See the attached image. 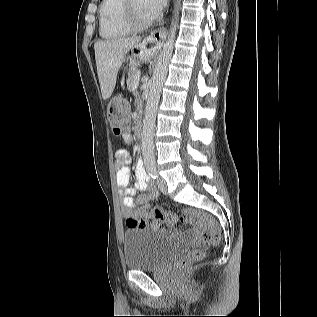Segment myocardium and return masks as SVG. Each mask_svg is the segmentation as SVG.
<instances>
[{
    "label": "myocardium",
    "instance_id": "f54148a6",
    "mask_svg": "<svg viewBox=\"0 0 317 317\" xmlns=\"http://www.w3.org/2000/svg\"><path fill=\"white\" fill-rule=\"evenodd\" d=\"M122 16L126 26L131 31H143L145 29H148L153 23V19L140 21L137 18L132 5V0H123Z\"/></svg>",
    "mask_w": 317,
    "mask_h": 317
}]
</instances>
